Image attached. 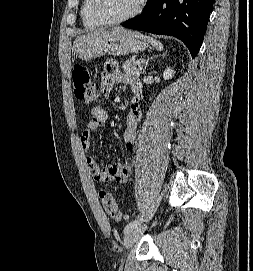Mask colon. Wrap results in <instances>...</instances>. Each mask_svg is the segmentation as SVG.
Wrapping results in <instances>:
<instances>
[{
	"label": "colon",
	"instance_id": "colon-1",
	"mask_svg": "<svg viewBox=\"0 0 253 271\" xmlns=\"http://www.w3.org/2000/svg\"><path fill=\"white\" fill-rule=\"evenodd\" d=\"M71 78L74 94L78 99L88 104H94L99 101V92L96 85L93 83L89 72L84 66L80 64L75 65L72 69ZM99 196L105 212L112 219L122 221L125 218L124 214L119 209L114 196L110 192L101 190Z\"/></svg>",
	"mask_w": 253,
	"mask_h": 271
}]
</instances>
